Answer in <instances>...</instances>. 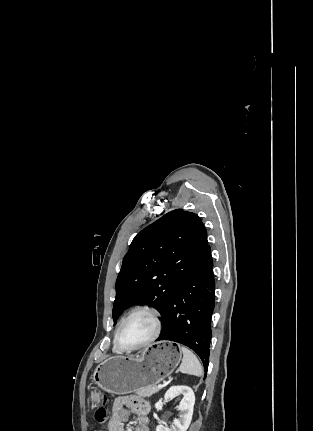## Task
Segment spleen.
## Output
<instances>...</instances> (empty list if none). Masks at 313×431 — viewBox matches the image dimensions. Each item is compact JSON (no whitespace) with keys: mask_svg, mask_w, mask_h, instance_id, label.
Listing matches in <instances>:
<instances>
[{"mask_svg":"<svg viewBox=\"0 0 313 431\" xmlns=\"http://www.w3.org/2000/svg\"><path fill=\"white\" fill-rule=\"evenodd\" d=\"M180 351L183 354V359L179 371L183 374L202 376L203 368L196 355L184 346L180 347Z\"/></svg>","mask_w":313,"mask_h":431,"instance_id":"obj_1","label":"spleen"}]
</instances>
